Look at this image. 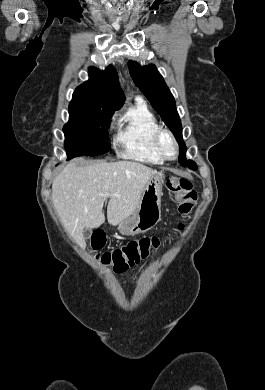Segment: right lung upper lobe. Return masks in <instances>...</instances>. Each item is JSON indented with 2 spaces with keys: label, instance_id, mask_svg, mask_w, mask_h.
I'll use <instances>...</instances> for the list:
<instances>
[{
  "label": "right lung upper lobe",
  "instance_id": "obj_1",
  "mask_svg": "<svg viewBox=\"0 0 265 390\" xmlns=\"http://www.w3.org/2000/svg\"><path fill=\"white\" fill-rule=\"evenodd\" d=\"M89 80L78 86L69 106L97 108L114 113L124 103L125 97L119 85L116 69L89 67Z\"/></svg>",
  "mask_w": 265,
  "mask_h": 390
}]
</instances>
